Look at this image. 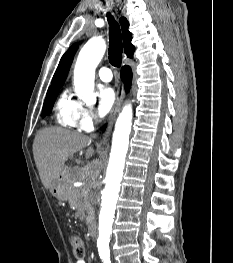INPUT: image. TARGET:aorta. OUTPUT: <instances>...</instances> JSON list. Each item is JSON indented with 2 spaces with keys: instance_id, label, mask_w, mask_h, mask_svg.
I'll list each match as a JSON object with an SVG mask.
<instances>
[{
  "instance_id": "762f6f07",
  "label": "aorta",
  "mask_w": 233,
  "mask_h": 263,
  "mask_svg": "<svg viewBox=\"0 0 233 263\" xmlns=\"http://www.w3.org/2000/svg\"><path fill=\"white\" fill-rule=\"evenodd\" d=\"M105 50L106 44L103 39L91 38L78 55L74 69V85L79 99L85 102H90L93 99L95 69ZM131 126L132 107L128 104L124 106L115 124L106 184L101 191L97 246L103 259H109L110 257V235L129 145Z\"/></svg>"
}]
</instances>
